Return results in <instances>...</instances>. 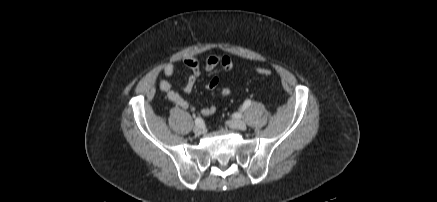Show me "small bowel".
I'll return each instance as SVG.
<instances>
[{
  "label": "small bowel",
  "mask_w": 437,
  "mask_h": 202,
  "mask_svg": "<svg viewBox=\"0 0 437 202\" xmlns=\"http://www.w3.org/2000/svg\"><path fill=\"white\" fill-rule=\"evenodd\" d=\"M184 65L190 71V74L187 78L186 83L182 86V91L184 93H191L195 87L197 78L203 71L210 72L215 69H222L223 71L229 72L233 68V63L228 56H218L213 55L209 56L205 59L203 64L201 65L199 60L196 57L189 56L184 59ZM163 73L167 77H171L175 73V66L172 63H168L163 68ZM159 88L164 91L170 101L176 104L178 107L194 111L195 108L185 100L179 92L173 89L170 82L165 79H161L158 83ZM219 86V78L214 76L211 80L206 84L205 89L208 91L216 90ZM231 94V91L228 88H223L220 91L219 97L221 100L227 99ZM216 111V107L211 105L205 107L201 110V114L204 116L212 115Z\"/></svg>",
  "instance_id": "small-bowel-1"
}]
</instances>
